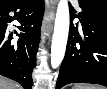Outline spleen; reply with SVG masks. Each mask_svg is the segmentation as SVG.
<instances>
[{
	"label": "spleen",
	"instance_id": "obj_1",
	"mask_svg": "<svg viewBox=\"0 0 107 89\" xmlns=\"http://www.w3.org/2000/svg\"><path fill=\"white\" fill-rule=\"evenodd\" d=\"M72 89H103L100 86H95V85H81V84H76Z\"/></svg>",
	"mask_w": 107,
	"mask_h": 89
}]
</instances>
